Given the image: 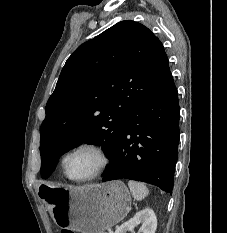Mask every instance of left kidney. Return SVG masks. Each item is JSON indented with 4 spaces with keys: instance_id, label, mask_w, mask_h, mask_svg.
Returning <instances> with one entry per match:
<instances>
[{
    "instance_id": "1",
    "label": "left kidney",
    "mask_w": 227,
    "mask_h": 233,
    "mask_svg": "<svg viewBox=\"0 0 227 233\" xmlns=\"http://www.w3.org/2000/svg\"><path fill=\"white\" fill-rule=\"evenodd\" d=\"M140 223H142V226L139 233H155L157 218L154 211L150 208L141 210L129 221L118 227L115 233H127V231H132Z\"/></svg>"
}]
</instances>
